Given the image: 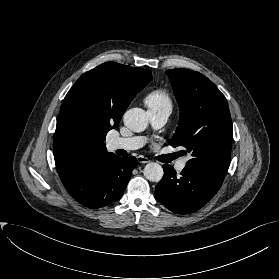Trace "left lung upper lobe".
I'll use <instances>...</instances> for the list:
<instances>
[{"label": "left lung upper lobe", "instance_id": "1", "mask_svg": "<svg viewBox=\"0 0 279 279\" xmlns=\"http://www.w3.org/2000/svg\"><path fill=\"white\" fill-rule=\"evenodd\" d=\"M169 76L180 107V119L170 144L190 154L184 170L222 185L230 164L233 126L227 100L204 75L172 69Z\"/></svg>", "mask_w": 279, "mask_h": 279}]
</instances>
